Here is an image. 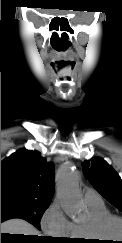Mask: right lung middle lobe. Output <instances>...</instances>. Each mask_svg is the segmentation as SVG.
Segmentation results:
<instances>
[{
	"label": "right lung middle lobe",
	"mask_w": 122,
	"mask_h": 243,
	"mask_svg": "<svg viewBox=\"0 0 122 243\" xmlns=\"http://www.w3.org/2000/svg\"><path fill=\"white\" fill-rule=\"evenodd\" d=\"M49 204L50 201L47 200L4 195L1 196V215L25 218L35 227L41 229L40 220Z\"/></svg>",
	"instance_id": "right-lung-middle-lobe-1"
}]
</instances>
